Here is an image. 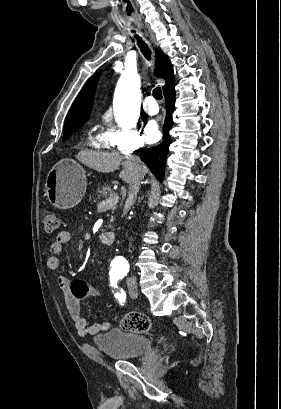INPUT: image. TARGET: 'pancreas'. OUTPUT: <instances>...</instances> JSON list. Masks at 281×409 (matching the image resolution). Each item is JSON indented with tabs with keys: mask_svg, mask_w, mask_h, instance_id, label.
I'll use <instances>...</instances> for the list:
<instances>
[{
	"mask_svg": "<svg viewBox=\"0 0 281 409\" xmlns=\"http://www.w3.org/2000/svg\"><path fill=\"white\" fill-rule=\"evenodd\" d=\"M100 192V194H98ZM109 193H115L112 188H110L109 184H103V186H98L96 192H94L93 196H97V198H102V196H105V198H108ZM115 209V208H112Z\"/></svg>",
	"mask_w": 281,
	"mask_h": 409,
	"instance_id": "obj_1",
	"label": "pancreas"
}]
</instances>
